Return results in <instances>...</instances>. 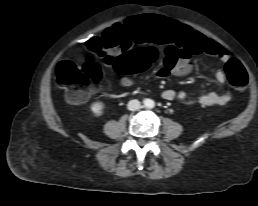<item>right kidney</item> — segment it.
<instances>
[{"label":"right kidney","instance_id":"1","mask_svg":"<svg viewBox=\"0 0 258 206\" xmlns=\"http://www.w3.org/2000/svg\"><path fill=\"white\" fill-rule=\"evenodd\" d=\"M104 106L101 102H96L92 104L91 111L95 114V116H100L102 114Z\"/></svg>","mask_w":258,"mask_h":206}]
</instances>
